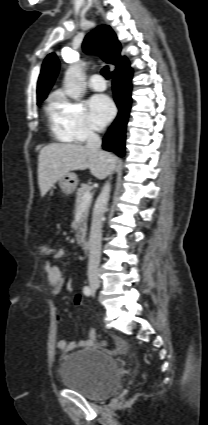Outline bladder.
I'll return each instance as SVG.
<instances>
[{
    "instance_id": "31cf9c89",
    "label": "bladder",
    "mask_w": 208,
    "mask_h": 425,
    "mask_svg": "<svg viewBox=\"0 0 208 425\" xmlns=\"http://www.w3.org/2000/svg\"><path fill=\"white\" fill-rule=\"evenodd\" d=\"M61 379L66 388L96 400L115 392L121 373L110 354L88 349L62 358Z\"/></svg>"
}]
</instances>
